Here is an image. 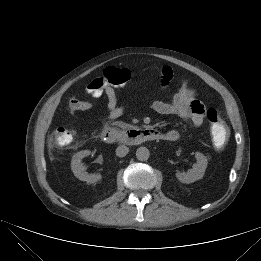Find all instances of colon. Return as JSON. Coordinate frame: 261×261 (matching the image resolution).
Instances as JSON below:
<instances>
[{
    "instance_id": "obj_1",
    "label": "colon",
    "mask_w": 261,
    "mask_h": 261,
    "mask_svg": "<svg viewBox=\"0 0 261 261\" xmlns=\"http://www.w3.org/2000/svg\"><path fill=\"white\" fill-rule=\"evenodd\" d=\"M132 76V72L128 69L110 67L104 71L102 76L92 80L86 90L93 97H100L106 85L124 86ZM206 117L210 124V133L214 145L217 148H223L229 138V130L225 121L215 108H209L206 112ZM73 137L74 132L72 130L65 127H57L50 137V142L55 145L64 146L71 143Z\"/></svg>"
}]
</instances>
